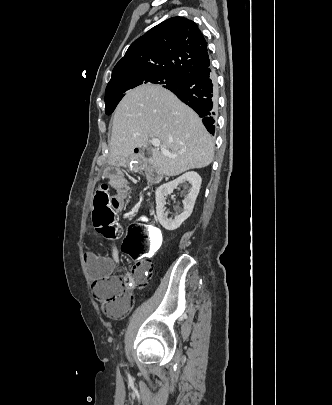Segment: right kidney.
I'll list each match as a JSON object with an SVG mask.
<instances>
[{
  "label": "right kidney",
  "instance_id": "ca27d5eb",
  "mask_svg": "<svg viewBox=\"0 0 332 405\" xmlns=\"http://www.w3.org/2000/svg\"><path fill=\"white\" fill-rule=\"evenodd\" d=\"M189 182L191 184L190 192L183 200L184 210L181 214L176 215L173 219L167 217L165 210V200L168 194L180 184ZM202 179L196 172H187L177 179L162 184L156 190V214L160 224L168 231L176 230L192 214L196 198L198 196Z\"/></svg>",
  "mask_w": 332,
  "mask_h": 405
}]
</instances>
